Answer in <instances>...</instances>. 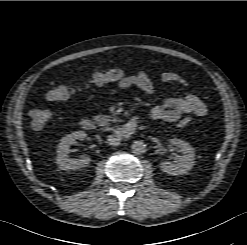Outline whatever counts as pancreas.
<instances>
[{
	"label": "pancreas",
	"mask_w": 247,
	"mask_h": 245,
	"mask_svg": "<svg viewBox=\"0 0 247 245\" xmlns=\"http://www.w3.org/2000/svg\"><path fill=\"white\" fill-rule=\"evenodd\" d=\"M94 121L99 125L104 127L106 130H110L109 127L111 125V122H115V119H111L108 115H97L93 117Z\"/></svg>",
	"instance_id": "cf45deb5"
}]
</instances>
